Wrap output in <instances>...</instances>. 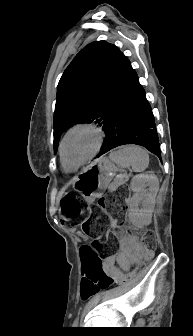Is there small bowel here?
<instances>
[{"mask_svg":"<svg viewBox=\"0 0 193 336\" xmlns=\"http://www.w3.org/2000/svg\"><path fill=\"white\" fill-rule=\"evenodd\" d=\"M141 257L140 249L137 243L126 236L121 237V249L116 255L109 256L104 259L102 264L104 271L113 277H119L122 270H127L130 266V259H139ZM118 265V266H117ZM82 273L84 286L83 289L86 291H93V287L87 285L86 283V273L83 269V259H82Z\"/></svg>","mask_w":193,"mask_h":336,"instance_id":"1","label":"small bowel"}]
</instances>
